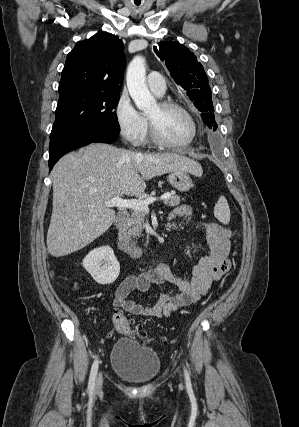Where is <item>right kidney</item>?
Segmentation results:
<instances>
[{"label":"right kidney","mask_w":299,"mask_h":427,"mask_svg":"<svg viewBox=\"0 0 299 427\" xmlns=\"http://www.w3.org/2000/svg\"><path fill=\"white\" fill-rule=\"evenodd\" d=\"M92 278L101 285L113 283L120 272V264L113 249L103 246L90 251L82 262Z\"/></svg>","instance_id":"ca27d5eb"}]
</instances>
